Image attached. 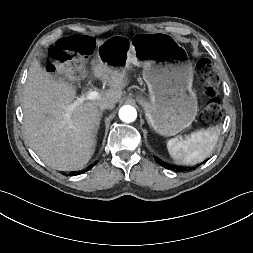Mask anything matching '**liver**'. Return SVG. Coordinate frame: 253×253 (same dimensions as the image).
<instances>
[{"mask_svg":"<svg viewBox=\"0 0 253 253\" xmlns=\"http://www.w3.org/2000/svg\"><path fill=\"white\" fill-rule=\"evenodd\" d=\"M92 70L110 89L95 100L81 101L75 100L76 88L71 83L56 79L38 61L29 68L23 92L24 134L40 159L56 170L76 171L87 165L96 147L99 103L116 104L128 85L126 71L100 62Z\"/></svg>","mask_w":253,"mask_h":253,"instance_id":"obj_1","label":"liver"}]
</instances>
